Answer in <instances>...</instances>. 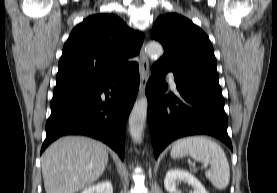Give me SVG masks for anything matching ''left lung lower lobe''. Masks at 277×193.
<instances>
[{"label":"left lung lower lobe","mask_w":277,"mask_h":193,"mask_svg":"<svg viewBox=\"0 0 277 193\" xmlns=\"http://www.w3.org/2000/svg\"><path fill=\"white\" fill-rule=\"evenodd\" d=\"M167 72L153 65L152 76L146 87L148 126L155 158L175 139L198 134L212 135L232 150L218 78L175 77L180 93L177 98L164 94L168 87L165 84Z\"/></svg>","instance_id":"0a47b994"}]
</instances>
